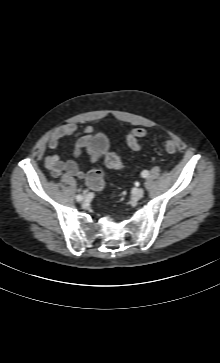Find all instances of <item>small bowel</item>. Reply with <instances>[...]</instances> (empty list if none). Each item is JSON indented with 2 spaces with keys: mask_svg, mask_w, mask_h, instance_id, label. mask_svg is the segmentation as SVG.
<instances>
[{
  "mask_svg": "<svg viewBox=\"0 0 220 363\" xmlns=\"http://www.w3.org/2000/svg\"><path fill=\"white\" fill-rule=\"evenodd\" d=\"M93 128L91 126L85 127L83 130H78L74 123L64 124L58 127L50 136L48 147L50 152L45 158V167L50 175L54 178L59 177L61 174L66 173L79 179H85L86 173L80 168L75 159L62 160L56 153L59 142L66 137H77L78 142L74 150V157L80 156L82 149L86 146L92 136ZM100 155L93 153L91 163L94 164L99 160Z\"/></svg>",
  "mask_w": 220,
  "mask_h": 363,
  "instance_id": "small-bowel-1",
  "label": "small bowel"
}]
</instances>
